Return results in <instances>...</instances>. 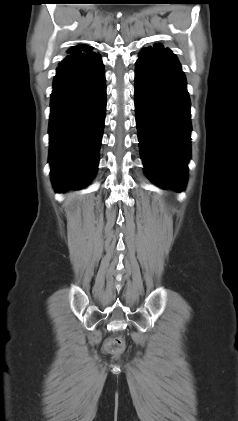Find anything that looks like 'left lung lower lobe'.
Here are the masks:
<instances>
[{"mask_svg": "<svg viewBox=\"0 0 238 421\" xmlns=\"http://www.w3.org/2000/svg\"><path fill=\"white\" fill-rule=\"evenodd\" d=\"M135 112L145 173L160 187L185 188L190 158V100L170 49L141 51L135 70Z\"/></svg>", "mask_w": 238, "mask_h": 421, "instance_id": "1", "label": "left lung lower lobe"}]
</instances>
